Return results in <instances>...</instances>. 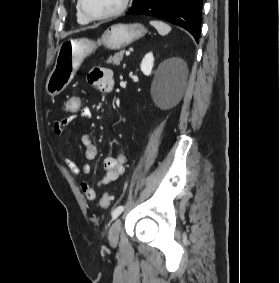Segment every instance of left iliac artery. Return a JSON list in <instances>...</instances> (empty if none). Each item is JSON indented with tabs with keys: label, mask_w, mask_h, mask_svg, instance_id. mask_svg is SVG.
Returning a JSON list of instances; mask_svg holds the SVG:
<instances>
[{
	"label": "left iliac artery",
	"mask_w": 280,
	"mask_h": 283,
	"mask_svg": "<svg viewBox=\"0 0 280 283\" xmlns=\"http://www.w3.org/2000/svg\"><path fill=\"white\" fill-rule=\"evenodd\" d=\"M124 210V206H118L112 211V219H116Z\"/></svg>",
	"instance_id": "1"
}]
</instances>
